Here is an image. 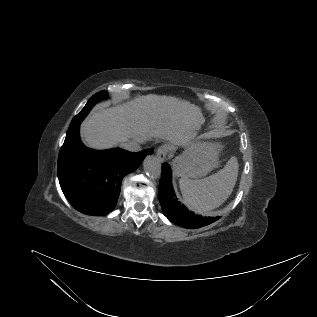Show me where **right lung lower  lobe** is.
<instances>
[{
	"label": "right lung lower lobe",
	"mask_w": 317,
	"mask_h": 317,
	"mask_svg": "<svg viewBox=\"0 0 317 317\" xmlns=\"http://www.w3.org/2000/svg\"><path fill=\"white\" fill-rule=\"evenodd\" d=\"M80 123L66 134L58 157V178L70 204L88 215H106L112 211L121 190L122 179L136 170L146 149L131 153L120 148L96 151L83 145Z\"/></svg>",
	"instance_id": "right-lung-lower-lobe-1"
}]
</instances>
